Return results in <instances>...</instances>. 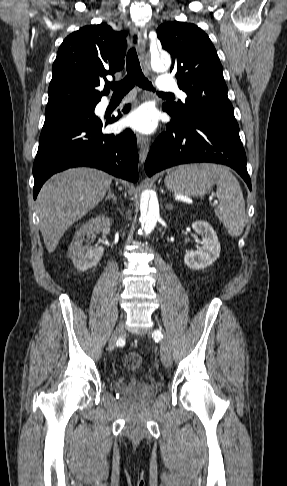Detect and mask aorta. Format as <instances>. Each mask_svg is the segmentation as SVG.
<instances>
[{
    "label": "aorta",
    "mask_w": 287,
    "mask_h": 486,
    "mask_svg": "<svg viewBox=\"0 0 287 486\" xmlns=\"http://www.w3.org/2000/svg\"><path fill=\"white\" fill-rule=\"evenodd\" d=\"M150 63L153 70L160 71L164 68H168L171 64V60L169 55L153 53L151 54ZM140 213V221L144 233L145 235H149L154 230L159 219V203L155 194H151L150 198H141Z\"/></svg>",
    "instance_id": "aorta-1"
}]
</instances>
